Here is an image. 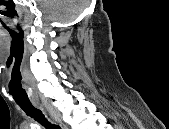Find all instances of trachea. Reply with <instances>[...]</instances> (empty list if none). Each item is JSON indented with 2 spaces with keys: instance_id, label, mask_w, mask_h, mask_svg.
I'll list each match as a JSON object with an SVG mask.
<instances>
[{
  "instance_id": "1",
  "label": "trachea",
  "mask_w": 169,
  "mask_h": 129,
  "mask_svg": "<svg viewBox=\"0 0 169 129\" xmlns=\"http://www.w3.org/2000/svg\"><path fill=\"white\" fill-rule=\"evenodd\" d=\"M20 107L28 116L38 121L46 129H61L58 125L52 124L50 121H48L42 111L35 108L33 105H20Z\"/></svg>"
}]
</instances>
